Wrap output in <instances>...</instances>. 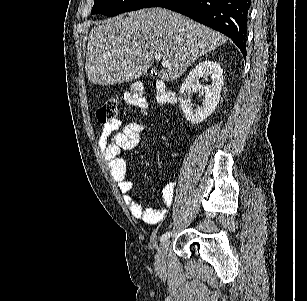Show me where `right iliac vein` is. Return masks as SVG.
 I'll return each instance as SVG.
<instances>
[{
    "mask_svg": "<svg viewBox=\"0 0 307 301\" xmlns=\"http://www.w3.org/2000/svg\"><path fill=\"white\" fill-rule=\"evenodd\" d=\"M169 240H163L158 248L156 257H155V267L158 270H162L165 269L166 267V253H167V249L169 247Z\"/></svg>",
    "mask_w": 307,
    "mask_h": 301,
    "instance_id": "right-iliac-vein-1",
    "label": "right iliac vein"
}]
</instances>
